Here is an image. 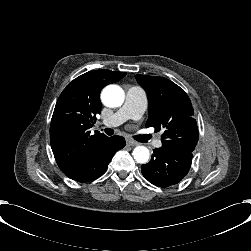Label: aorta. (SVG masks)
<instances>
[{
  "instance_id": "obj_1",
  "label": "aorta",
  "mask_w": 251,
  "mask_h": 251,
  "mask_svg": "<svg viewBox=\"0 0 251 251\" xmlns=\"http://www.w3.org/2000/svg\"><path fill=\"white\" fill-rule=\"evenodd\" d=\"M125 94L123 89L118 85H108L101 92V100L104 105L109 107L121 106L124 102ZM132 155L137 163L145 164L149 161L150 152L145 146L134 148Z\"/></svg>"
}]
</instances>
